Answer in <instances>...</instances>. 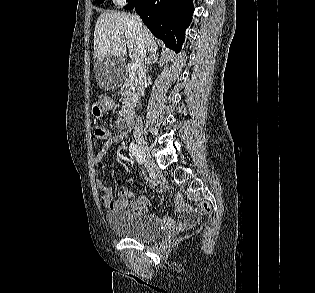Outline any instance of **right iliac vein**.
<instances>
[{
  "label": "right iliac vein",
  "mask_w": 315,
  "mask_h": 293,
  "mask_svg": "<svg viewBox=\"0 0 315 293\" xmlns=\"http://www.w3.org/2000/svg\"><path fill=\"white\" fill-rule=\"evenodd\" d=\"M136 142H137V144H138V146H139V148L143 154V157H144V160L147 164L148 169L153 170L155 167V164H154L153 159L151 157L150 150H149V147H148L146 141L142 137H137Z\"/></svg>",
  "instance_id": "obj_1"
}]
</instances>
